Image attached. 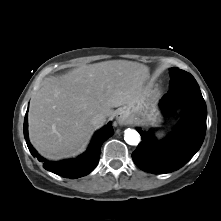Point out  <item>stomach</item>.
<instances>
[{
	"mask_svg": "<svg viewBox=\"0 0 221 221\" xmlns=\"http://www.w3.org/2000/svg\"><path fill=\"white\" fill-rule=\"evenodd\" d=\"M124 110L132 118L141 117L144 123L157 125L160 122V114L155 105L145 98Z\"/></svg>",
	"mask_w": 221,
	"mask_h": 221,
	"instance_id": "obj_1",
	"label": "stomach"
}]
</instances>
